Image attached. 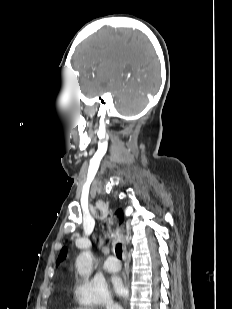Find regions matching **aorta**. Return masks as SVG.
<instances>
[{
	"label": "aorta",
	"mask_w": 232,
	"mask_h": 309,
	"mask_svg": "<svg viewBox=\"0 0 232 309\" xmlns=\"http://www.w3.org/2000/svg\"><path fill=\"white\" fill-rule=\"evenodd\" d=\"M93 256L90 251H83L76 260V266L80 275H88L92 270Z\"/></svg>",
	"instance_id": "762f6f07"
}]
</instances>
